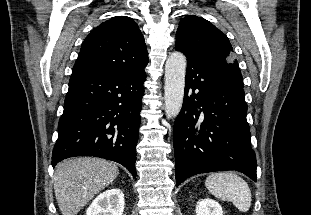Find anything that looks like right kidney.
Segmentation results:
<instances>
[{
  "instance_id": "1",
  "label": "right kidney",
  "mask_w": 311,
  "mask_h": 215,
  "mask_svg": "<svg viewBox=\"0 0 311 215\" xmlns=\"http://www.w3.org/2000/svg\"><path fill=\"white\" fill-rule=\"evenodd\" d=\"M124 194L118 188L108 189L99 194L86 211V215H122Z\"/></svg>"
}]
</instances>
